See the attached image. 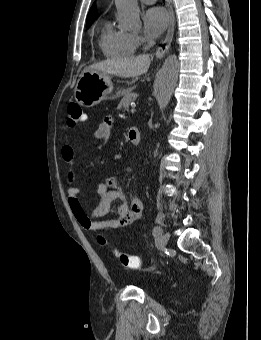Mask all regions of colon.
I'll return each instance as SVG.
<instances>
[{
    "label": "colon",
    "instance_id": "colon-1",
    "mask_svg": "<svg viewBox=\"0 0 261 340\" xmlns=\"http://www.w3.org/2000/svg\"><path fill=\"white\" fill-rule=\"evenodd\" d=\"M85 120V114L77 103H70L67 107V124L69 127H76ZM97 242L101 246H106L107 241L102 235H98ZM115 256L119 259L122 266L128 269L140 267L141 260L138 256L130 255L118 250H114Z\"/></svg>",
    "mask_w": 261,
    "mask_h": 340
}]
</instances>
